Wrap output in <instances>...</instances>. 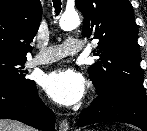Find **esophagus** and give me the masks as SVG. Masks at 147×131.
Here are the masks:
<instances>
[{
  "label": "esophagus",
  "mask_w": 147,
  "mask_h": 131,
  "mask_svg": "<svg viewBox=\"0 0 147 131\" xmlns=\"http://www.w3.org/2000/svg\"><path fill=\"white\" fill-rule=\"evenodd\" d=\"M59 131H69V123L67 120H62L59 124Z\"/></svg>",
  "instance_id": "esophagus-1"
}]
</instances>
